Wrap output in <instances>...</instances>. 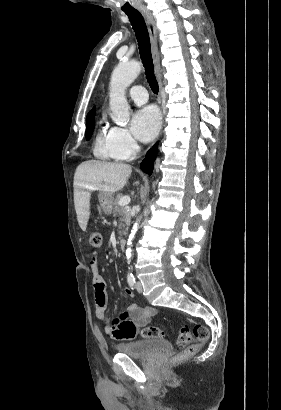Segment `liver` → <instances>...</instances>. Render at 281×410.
Instances as JSON below:
<instances>
[{
  "mask_svg": "<svg viewBox=\"0 0 281 410\" xmlns=\"http://www.w3.org/2000/svg\"><path fill=\"white\" fill-rule=\"evenodd\" d=\"M131 172L128 164L99 160L84 161L77 167L73 183L74 205L83 231H86L90 217L91 192L99 190L113 194L120 191L127 184Z\"/></svg>",
  "mask_w": 281,
  "mask_h": 410,
  "instance_id": "6515ba94",
  "label": "liver"
}]
</instances>
